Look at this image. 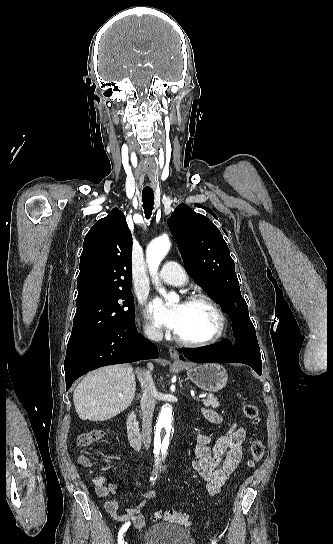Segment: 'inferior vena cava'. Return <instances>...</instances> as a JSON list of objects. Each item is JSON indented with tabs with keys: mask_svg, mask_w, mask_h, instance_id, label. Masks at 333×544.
<instances>
[{
	"mask_svg": "<svg viewBox=\"0 0 333 544\" xmlns=\"http://www.w3.org/2000/svg\"><path fill=\"white\" fill-rule=\"evenodd\" d=\"M145 334L149 339L155 341L160 340L163 336L159 330L153 327L146 328ZM137 375L143 388V394L141 396L143 444L146 450H148L151 443L152 417L156 403V389L149 371H137Z\"/></svg>",
	"mask_w": 333,
	"mask_h": 544,
	"instance_id": "1",
	"label": "inferior vena cava"
}]
</instances>
